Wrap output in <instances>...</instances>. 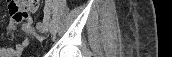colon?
I'll use <instances>...</instances> for the list:
<instances>
[{
  "instance_id": "5ec220e1",
  "label": "colon",
  "mask_w": 172,
  "mask_h": 57,
  "mask_svg": "<svg viewBox=\"0 0 172 57\" xmlns=\"http://www.w3.org/2000/svg\"><path fill=\"white\" fill-rule=\"evenodd\" d=\"M36 30H37L38 32H43V31H45V24H43V23H41V22L37 23V25H36Z\"/></svg>"
}]
</instances>
